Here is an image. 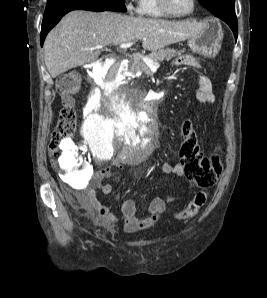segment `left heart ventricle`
I'll return each mask as SVG.
<instances>
[{
    "label": "left heart ventricle",
    "mask_w": 267,
    "mask_h": 298,
    "mask_svg": "<svg viewBox=\"0 0 267 298\" xmlns=\"http://www.w3.org/2000/svg\"><path fill=\"white\" fill-rule=\"evenodd\" d=\"M170 9L177 14L187 13L192 6V0H167Z\"/></svg>",
    "instance_id": "b2bd125f"
}]
</instances>
